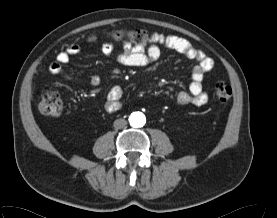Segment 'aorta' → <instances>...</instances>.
<instances>
[{
    "mask_svg": "<svg viewBox=\"0 0 277 218\" xmlns=\"http://www.w3.org/2000/svg\"><path fill=\"white\" fill-rule=\"evenodd\" d=\"M145 122L146 118L142 112H133L129 117L130 125L135 128L142 127Z\"/></svg>",
    "mask_w": 277,
    "mask_h": 218,
    "instance_id": "obj_1",
    "label": "aorta"
}]
</instances>
